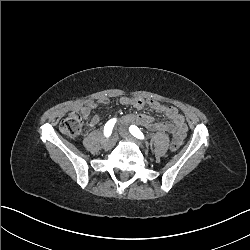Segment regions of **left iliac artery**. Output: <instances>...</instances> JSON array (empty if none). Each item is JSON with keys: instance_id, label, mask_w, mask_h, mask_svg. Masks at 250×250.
<instances>
[{"instance_id": "44dca946", "label": "left iliac artery", "mask_w": 250, "mask_h": 250, "mask_svg": "<svg viewBox=\"0 0 250 250\" xmlns=\"http://www.w3.org/2000/svg\"><path fill=\"white\" fill-rule=\"evenodd\" d=\"M129 131H130V133H131L134 137H136V138H138V139H144L143 133L139 130V128H138L137 126L131 125V126L129 127Z\"/></svg>"}]
</instances>
